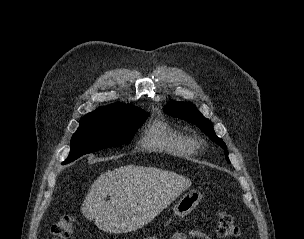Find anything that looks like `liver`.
<instances>
[{"instance_id": "liver-1", "label": "liver", "mask_w": 304, "mask_h": 239, "mask_svg": "<svg viewBox=\"0 0 304 239\" xmlns=\"http://www.w3.org/2000/svg\"><path fill=\"white\" fill-rule=\"evenodd\" d=\"M190 186V179L175 172L126 165L101 174L81 209L99 229L127 233L151 222Z\"/></svg>"}]
</instances>
